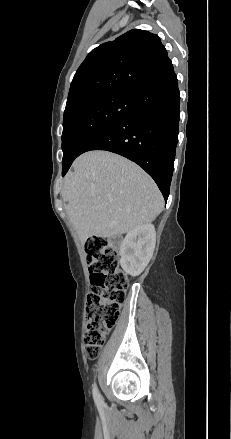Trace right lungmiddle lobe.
<instances>
[{"mask_svg":"<svg viewBox=\"0 0 231 439\" xmlns=\"http://www.w3.org/2000/svg\"><path fill=\"white\" fill-rule=\"evenodd\" d=\"M136 109L134 93H110L85 100L64 112L63 169L79 156L96 132Z\"/></svg>","mask_w":231,"mask_h":439,"instance_id":"obj_1","label":"right lung middle lobe"}]
</instances>
